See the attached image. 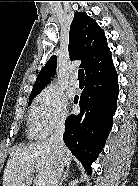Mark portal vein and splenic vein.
I'll list each match as a JSON object with an SVG mask.
<instances>
[{
	"label": "portal vein and splenic vein",
	"instance_id": "1",
	"mask_svg": "<svg viewBox=\"0 0 138 186\" xmlns=\"http://www.w3.org/2000/svg\"><path fill=\"white\" fill-rule=\"evenodd\" d=\"M29 175H31V172H29ZM36 186H44V184L41 181H37Z\"/></svg>",
	"mask_w": 138,
	"mask_h": 186
}]
</instances>
